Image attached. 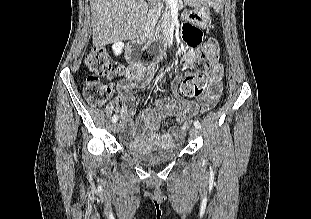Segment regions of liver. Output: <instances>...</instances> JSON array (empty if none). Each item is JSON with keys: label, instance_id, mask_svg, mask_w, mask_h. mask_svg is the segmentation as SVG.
I'll use <instances>...</instances> for the list:
<instances>
[{"label": "liver", "instance_id": "liver-1", "mask_svg": "<svg viewBox=\"0 0 311 219\" xmlns=\"http://www.w3.org/2000/svg\"><path fill=\"white\" fill-rule=\"evenodd\" d=\"M208 2L210 0H198ZM96 47L138 37L147 19L146 0H90Z\"/></svg>", "mask_w": 311, "mask_h": 219}]
</instances>
